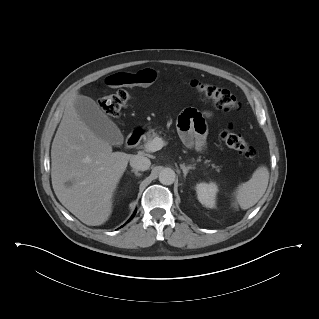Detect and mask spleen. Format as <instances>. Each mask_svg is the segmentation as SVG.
Returning <instances> with one entry per match:
<instances>
[{
    "label": "spleen",
    "mask_w": 319,
    "mask_h": 319,
    "mask_svg": "<svg viewBox=\"0 0 319 319\" xmlns=\"http://www.w3.org/2000/svg\"><path fill=\"white\" fill-rule=\"evenodd\" d=\"M268 181V168L266 166H259L249 181L237 187L235 191L236 204L243 210L254 206L264 195Z\"/></svg>",
    "instance_id": "1"
}]
</instances>
